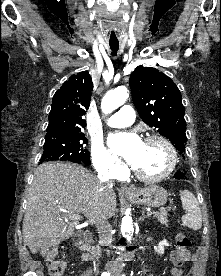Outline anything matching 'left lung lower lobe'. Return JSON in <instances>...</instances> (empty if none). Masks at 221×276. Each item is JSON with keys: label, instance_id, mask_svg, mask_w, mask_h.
I'll use <instances>...</instances> for the list:
<instances>
[{"label": "left lung lower lobe", "instance_id": "left-lung-lower-lobe-1", "mask_svg": "<svg viewBox=\"0 0 221 276\" xmlns=\"http://www.w3.org/2000/svg\"><path fill=\"white\" fill-rule=\"evenodd\" d=\"M174 178L176 179H187L185 174L182 171H178L175 173Z\"/></svg>", "mask_w": 221, "mask_h": 276}]
</instances>
